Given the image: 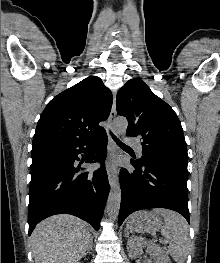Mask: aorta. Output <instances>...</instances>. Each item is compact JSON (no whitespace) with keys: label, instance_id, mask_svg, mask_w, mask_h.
I'll use <instances>...</instances> for the list:
<instances>
[{"label":"aorta","instance_id":"aorta-1","mask_svg":"<svg viewBox=\"0 0 220 263\" xmlns=\"http://www.w3.org/2000/svg\"><path fill=\"white\" fill-rule=\"evenodd\" d=\"M128 122L125 118H117L113 122V129L117 134H123L126 132ZM121 203V188L119 178L115 177L114 182L111 185L110 193L107 201V214L111 220H116L119 215Z\"/></svg>","mask_w":220,"mask_h":263}]
</instances>
